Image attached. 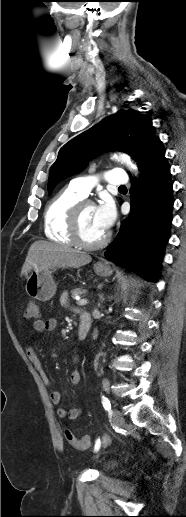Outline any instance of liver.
I'll return each instance as SVG.
<instances>
[{"label": "liver", "mask_w": 186, "mask_h": 517, "mask_svg": "<svg viewBox=\"0 0 186 517\" xmlns=\"http://www.w3.org/2000/svg\"><path fill=\"white\" fill-rule=\"evenodd\" d=\"M91 256L85 252L72 249L68 246L45 241L34 242L28 251L25 263L21 269V276L31 270L37 272L58 268H79L90 263Z\"/></svg>", "instance_id": "1"}]
</instances>
